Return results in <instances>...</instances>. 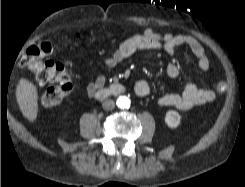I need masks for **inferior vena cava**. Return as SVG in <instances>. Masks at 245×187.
I'll return each mask as SVG.
<instances>
[{"instance_id": "1", "label": "inferior vena cava", "mask_w": 245, "mask_h": 187, "mask_svg": "<svg viewBox=\"0 0 245 187\" xmlns=\"http://www.w3.org/2000/svg\"><path fill=\"white\" fill-rule=\"evenodd\" d=\"M102 107L104 110H112L115 107V102L111 99L103 101Z\"/></svg>"}]
</instances>
